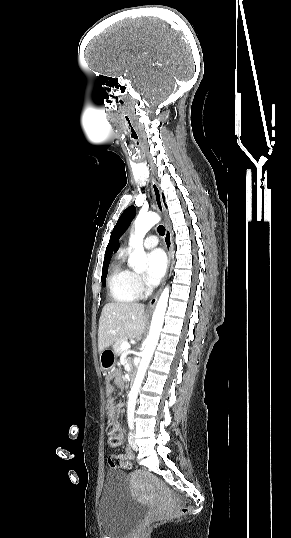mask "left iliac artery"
<instances>
[{"label": "left iliac artery", "instance_id": "44dca946", "mask_svg": "<svg viewBox=\"0 0 291 538\" xmlns=\"http://www.w3.org/2000/svg\"><path fill=\"white\" fill-rule=\"evenodd\" d=\"M128 425L130 429L134 428V413L132 412L128 413Z\"/></svg>", "mask_w": 291, "mask_h": 538}]
</instances>
